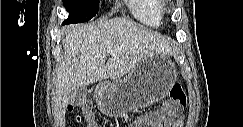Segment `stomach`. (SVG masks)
I'll return each mask as SVG.
<instances>
[{
    "label": "stomach",
    "instance_id": "1",
    "mask_svg": "<svg viewBox=\"0 0 243 127\" xmlns=\"http://www.w3.org/2000/svg\"><path fill=\"white\" fill-rule=\"evenodd\" d=\"M176 80V67L164 54L142 60L124 79L99 84L95 98L99 110L109 117L147 107L163 99Z\"/></svg>",
    "mask_w": 243,
    "mask_h": 127
}]
</instances>
